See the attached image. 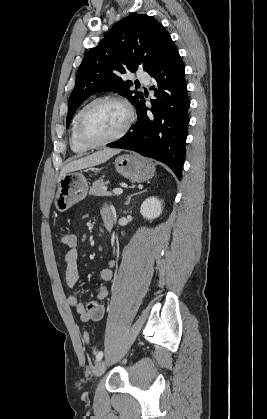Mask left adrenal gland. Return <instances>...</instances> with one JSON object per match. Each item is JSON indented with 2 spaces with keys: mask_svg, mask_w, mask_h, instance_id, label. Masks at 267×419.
Instances as JSON below:
<instances>
[{
  "mask_svg": "<svg viewBox=\"0 0 267 419\" xmlns=\"http://www.w3.org/2000/svg\"><path fill=\"white\" fill-rule=\"evenodd\" d=\"M143 192H145V191H140V192H138V193H134V194L129 195V196L126 198L125 205H128V204L130 203V200H131V198H132L133 196L138 195V194H141V193H143Z\"/></svg>",
  "mask_w": 267,
  "mask_h": 419,
  "instance_id": "1",
  "label": "left adrenal gland"
}]
</instances>
